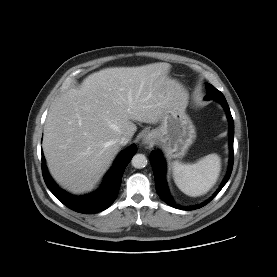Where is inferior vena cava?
Here are the masks:
<instances>
[{"instance_id": "obj_1", "label": "inferior vena cava", "mask_w": 277, "mask_h": 277, "mask_svg": "<svg viewBox=\"0 0 277 277\" xmlns=\"http://www.w3.org/2000/svg\"><path fill=\"white\" fill-rule=\"evenodd\" d=\"M130 141L129 137L122 136L118 139L120 145H126Z\"/></svg>"}]
</instances>
